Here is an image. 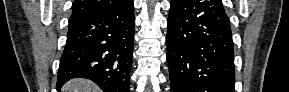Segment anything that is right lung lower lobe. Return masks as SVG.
<instances>
[{
	"label": "right lung lower lobe",
	"mask_w": 289,
	"mask_h": 92,
	"mask_svg": "<svg viewBox=\"0 0 289 92\" xmlns=\"http://www.w3.org/2000/svg\"><path fill=\"white\" fill-rule=\"evenodd\" d=\"M133 0L69 20L57 91L72 78H87L104 92H129L134 41Z\"/></svg>",
	"instance_id": "1"
}]
</instances>
